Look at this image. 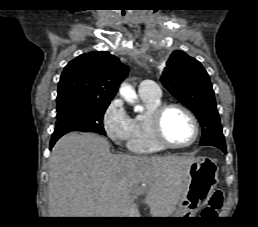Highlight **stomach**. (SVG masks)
Here are the masks:
<instances>
[{
  "label": "stomach",
  "instance_id": "0dacf381",
  "mask_svg": "<svg viewBox=\"0 0 258 227\" xmlns=\"http://www.w3.org/2000/svg\"><path fill=\"white\" fill-rule=\"evenodd\" d=\"M183 173V190L172 217H191L208 202L218 183V167L210 158L194 159Z\"/></svg>",
  "mask_w": 258,
  "mask_h": 227
}]
</instances>
